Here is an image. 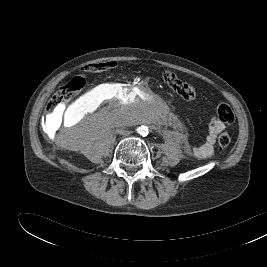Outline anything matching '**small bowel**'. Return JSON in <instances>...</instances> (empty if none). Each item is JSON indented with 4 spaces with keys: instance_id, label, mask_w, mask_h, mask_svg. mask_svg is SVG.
Wrapping results in <instances>:
<instances>
[{
    "instance_id": "small-bowel-1",
    "label": "small bowel",
    "mask_w": 267,
    "mask_h": 267,
    "mask_svg": "<svg viewBox=\"0 0 267 267\" xmlns=\"http://www.w3.org/2000/svg\"><path fill=\"white\" fill-rule=\"evenodd\" d=\"M89 67V66H88ZM67 110L58 108L54 115L56 118L63 119ZM225 128V123L218 117L214 116L209 123V132L206 140L197 146H191L187 142L184 143V149L186 152L194 155L197 158H209L213 155L214 144L218 134Z\"/></svg>"
}]
</instances>
